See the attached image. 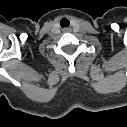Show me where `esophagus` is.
I'll use <instances>...</instances> for the list:
<instances>
[{
	"label": "esophagus",
	"instance_id": "esophagus-1",
	"mask_svg": "<svg viewBox=\"0 0 127 127\" xmlns=\"http://www.w3.org/2000/svg\"><path fill=\"white\" fill-rule=\"evenodd\" d=\"M63 31L68 32V31H70V29L69 28H64Z\"/></svg>",
	"mask_w": 127,
	"mask_h": 127
}]
</instances>
